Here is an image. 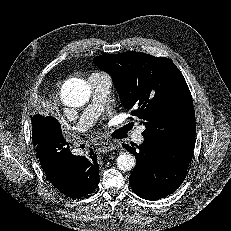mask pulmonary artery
<instances>
[{"mask_svg": "<svg viewBox=\"0 0 231 231\" xmlns=\"http://www.w3.org/2000/svg\"><path fill=\"white\" fill-rule=\"evenodd\" d=\"M89 83L92 88V102L82 113L76 130L81 131L91 126L100 111L104 108L110 93L112 82L109 76L91 75ZM133 140L141 144L144 142L143 128L136 129L132 134Z\"/></svg>", "mask_w": 231, "mask_h": 231, "instance_id": "1", "label": "pulmonary artery"}]
</instances>
